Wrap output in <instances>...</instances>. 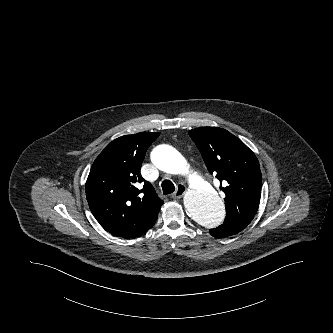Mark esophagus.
<instances>
[{"instance_id":"esophagus-1","label":"esophagus","mask_w":333,"mask_h":333,"mask_svg":"<svg viewBox=\"0 0 333 333\" xmlns=\"http://www.w3.org/2000/svg\"><path fill=\"white\" fill-rule=\"evenodd\" d=\"M187 188L183 184H178L176 191L172 194L173 199H180L184 193L186 192Z\"/></svg>"}]
</instances>
